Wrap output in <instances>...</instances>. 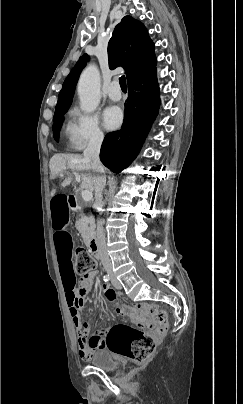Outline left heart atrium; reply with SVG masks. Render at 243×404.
<instances>
[{
  "label": "left heart atrium",
  "instance_id": "1",
  "mask_svg": "<svg viewBox=\"0 0 243 404\" xmlns=\"http://www.w3.org/2000/svg\"><path fill=\"white\" fill-rule=\"evenodd\" d=\"M123 120L122 111L117 106H109L102 113L103 127L110 131L117 129Z\"/></svg>",
  "mask_w": 243,
  "mask_h": 404
}]
</instances>
